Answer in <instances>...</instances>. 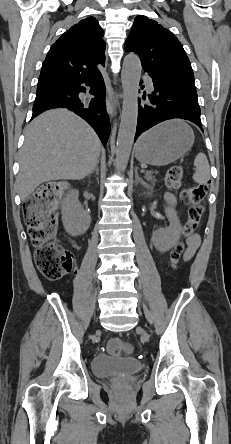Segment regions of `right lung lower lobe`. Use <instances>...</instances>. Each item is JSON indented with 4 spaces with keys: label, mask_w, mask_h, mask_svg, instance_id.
<instances>
[{
    "label": "right lung lower lobe",
    "mask_w": 231,
    "mask_h": 444,
    "mask_svg": "<svg viewBox=\"0 0 231 444\" xmlns=\"http://www.w3.org/2000/svg\"><path fill=\"white\" fill-rule=\"evenodd\" d=\"M83 84L90 86V93L94 95L90 101L78 97L80 92H85ZM104 100L105 84L102 75L40 89L36 92L32 119L52 108H68L93 127L105 146L111 129Z\"/></svg>",
    "instance_id": "right-lung-lower-lobe-1"
}]
</instances>
